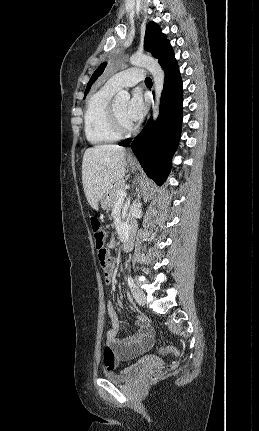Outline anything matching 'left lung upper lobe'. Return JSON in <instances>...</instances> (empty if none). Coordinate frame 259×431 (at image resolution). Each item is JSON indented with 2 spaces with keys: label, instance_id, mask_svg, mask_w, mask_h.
<instances>
[{
  "label": "left lung upper lobe",
  "instance_id": "1",
  "mask_svg": "<svg viewBox=\"0 0 259 431\" xmlns=\"http://www.w3.org/2000/svg\"><path fill=\"white\" fill-rule=\"evenodd\" d=\"M169 45H170L169 40H167L166 36L161 33L160 27L154 22H149L145 32V40H144L145 50L151 52V54L159 60V58L161 57V55ZM105 67H106V62L102 63L93 73L92 77L90 78L87 84L85 96L90 90L91 85L96 81L97 77L103 73Z\"/></svg>",
  "mask_w": 259,
  "mask_h": 431
}]
</instances>
